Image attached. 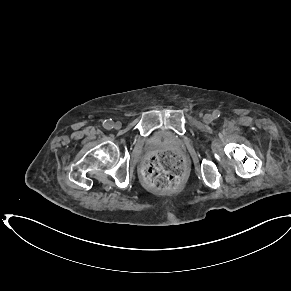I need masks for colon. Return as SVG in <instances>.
<instances>
[{"mask_svg":"<svg viewBox=\"0 0 291 291\" xmlns=\"http://www.w3.org/2000/svg\"><path fill=\"white\" fill-rule=\"evenodd\" d=\"M182 171V159L173 151H163L149 156L142 168L145 182L157 190L174 188Z\"/></svg>","mask_w":291,"mask_h":291,"instance_id":"1","label":"colon"}]
</instances>
